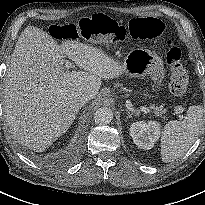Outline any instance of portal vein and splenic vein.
<instances>
[{
	"label": "portal vein and splenic vein",
	"mask_w": 205,
	"mask_h": 205,
	"mask_svg": "<svg viewBox=\"0 0 205 205\" xmlns=\"http://www.w3.org/2000/svg\"><path fill=\"white\" fill-rule=\"evenodd\" d=\"M65 67H66L67 69L71 68V67H72V63L67 60V61L65 62ZM140 111H142V112H144V113H149V112H151V110H150L149 108H147V107H141V108H140Z\"/></svg>",
	"instance_id": "1"
}]
</instances>
